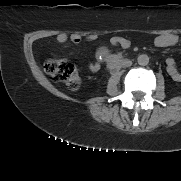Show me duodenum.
Returning a JSON list of instances; mask_svg holds the SVG:
<instances>
[{
	"mask_svg": "<svg viewBox=\"0 0 181 181\" xmlns=\"http://www.w3.org/2000/svg\"><path fill=\"white\" fill-rule=\"evenodd\" d=\"M122 61V58L121 57H116L115 59H114V62L115 63H119V62H121Z\"/></svg>",
	"mask_w": 181,
	"mask_h": 181,
	"instance_id": "duodenum-1",
	"label": "duodenum"
}]
</instances>
